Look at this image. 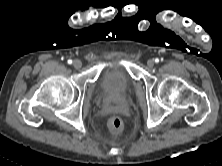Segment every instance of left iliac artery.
Returning <instances> with one entry per match:
<instances>
[{"label": "left iliac artery", "instance_id": "1", "mask_svg": "<svg viewBox=\"0 0 222 166\" xmlns=\"http://www.w3.org/2000/svg\"><path fill=\"white\" fill-rule=\"evenodd\" d=\"M155 62L158 63V62H159V59H155Z\"/></svg>", "mask_w": 222, "mask_h": 166}]
</instances>
